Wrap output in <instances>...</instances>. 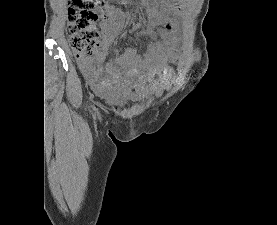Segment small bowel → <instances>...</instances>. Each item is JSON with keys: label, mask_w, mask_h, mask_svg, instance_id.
Here are the masks:
<instances>
[{"label": "small bowel", "mask_w": 277, "mask_h": 225, "mask_svg": "<svg viewBox=\"0 0 277 225\" xmlns=\"http://www.w3.org/2000/svg\"><path fill=\"white\" fill-rule=\"evenodd\" d=\"M166 2V0H161L143 14L145 19H151L149 33L153 37V41L148 43L145 57L149 66L148 70L140 69L145 58L136 48H130L124 54L109 61H106V51L94 56L76 55L81 72L97 94L106 96L113 88L125 86L122 78L126 71L139 74L135 90L133 92L125 91L128 98L142 99L158 96L169 89L171 80L165 65L173 50V29L181 14L175 6L168 5ZM124 23V15L120 11L108 7L106 14L101 17L102 34L107 47L121 33ZM158 25L163 27L159 28L156 33L152 32L151 29ZM140 26V24L135 25L132 32L138 31ZM155 77L157 78L155 79Z\"/></svg>", "instance_id": "obj_1"}]
</instances>
